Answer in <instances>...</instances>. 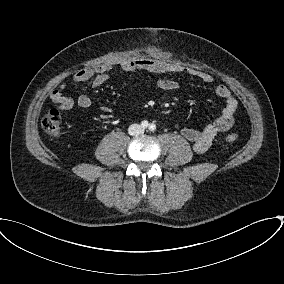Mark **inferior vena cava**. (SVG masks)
Masks as SVG:
<instances>
[{"instance_id":"602c4592","label":"inferior vena cava","mask_w":284,"mask_h":284,"mask_svg":"<svg viewBox=\"0 0 284 284\" xmlns=\"http://www.w3.org/2000/svg\"><path fill=\"white\" fill-rule=\"evenodd\" d=\"M144 132V128L139 124H132L128 128V133L130 135H139Z\"/></svg>"}]
</instances>
